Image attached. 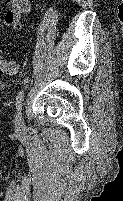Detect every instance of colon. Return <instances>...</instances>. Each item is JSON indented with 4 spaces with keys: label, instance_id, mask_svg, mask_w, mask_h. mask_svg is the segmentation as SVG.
<instances>
[{
    "label": "colon",
    "instance_id": "5ec220e1",
    "mask_svg": "<svg viewBox=\"0 0 123 201\" xmlns=\"http://www.w3.org/2000/svg\"><path fill=\"white\" fill-rule=\"evenodd\" d=\"M18 66L16 62L5 59L2 54H0V71L6 74H16Z\"/></svg>",
    "mask_w": 123,
    "mask_h": 201
}]
</instances>
